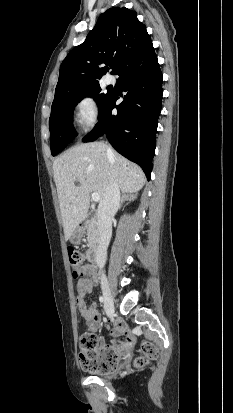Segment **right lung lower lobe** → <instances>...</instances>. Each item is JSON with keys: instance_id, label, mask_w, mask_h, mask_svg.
Instances as JSON below:
<instances>
[{"instance_id": "98d812e1", "label": "right lung lower lobe", "mask_w": 233, "mask_h": 413, "mask_svg": "<svg viewBox=\"0 0 233 413\" xmlns=\"http://www.w3.org/2000/svg\"><path fill=\"white\" fill-rule=\"evenodd\" d=\"M115 74L120 76L121 91L127 94L115 105L118 97L111 93L98 123L83 142L94 141L105 133L113 148L137 163L149 180L162 101V73L152 42L126 60ZM113 108L117 115L111 113Z\"/></svg>"}]
</instances>
